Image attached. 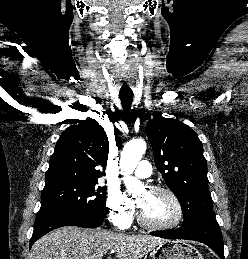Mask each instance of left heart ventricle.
<instances>
[{"mask_svg":"<svg viewBox=\"0 0 248 259\" xmlns=\"http://www.w3.org/2000/svg\"><path fill=\"white\" fill-rule=\"evenodd\" d=\"M137 202L144 218L153 224L169 223L176 216L174 203L163 193L146 190L142 192Z\"/></svg>","mask_w":248,"mask_h":259,"instance_id":"b2bd125f","label":"left heart ventricle"}]
</instances>
